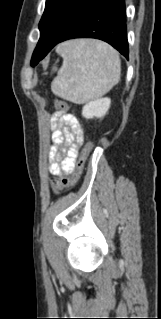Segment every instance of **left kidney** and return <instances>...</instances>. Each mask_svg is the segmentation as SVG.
Listing matches in <instances>:
<instances>
[{"label": "left kidney", "instance_id": "left-kidney-1", "mask_svg": "<svg viewBox=\"0 0 161 319\" xmlns=\"http://www.w3.org/2000/svg\"><path fill=\"white\" fill-rule=\"evenodd\" d=\"M111 100L107 97L88 102L83 106L82 115L86 119L102 118L110 108Z\"/></svg>", "mask_w": 161, "mask_h": 319}]
</instances>
